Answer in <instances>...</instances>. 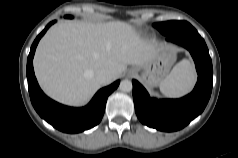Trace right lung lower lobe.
<instances>
[{
  "instance_id": "1",
  "label": "right lung lower lobe",
  "mask_w": 238,
  "mask_h": 158,
  "mask_svg": "<svg viewBox=\"0 0 238 158\" xmlns=\"http://www.w3.org/2000/svg\"><path fill=\"white\" fill-rule=\"evenodd\" d=\"M54 22H50L36 37L30 49L26 70L30 99L37 113L53 127L66 133H78L96 126L101 121L107 98L120 81L100 89L90 103L82 108L67 107L48 98L37 83L32 62L40 38Z\"/></svg>"
}]
</instances>
